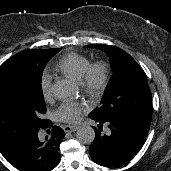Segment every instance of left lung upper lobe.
Listing matches in <instances>:
<instances>
[{"label": "left lung upper lobe", "instance_id": "obj_1", "mask_svg": "<svg viewBox=\"0 0 171 171\" xmlns=\"http://www.w3.org/2000/svg\"><path fill=\"white\" fill-rule=\"evenodd\" d=\"M85 47L106 52L113 70L100 106L95 108L89 117L102 121L124 118L150 124L151 91L146 74L138 63L127 52L115 46L92 44Z\"/></svg>", "mask_w": 171, "mask_h": 171}]
</instances>
